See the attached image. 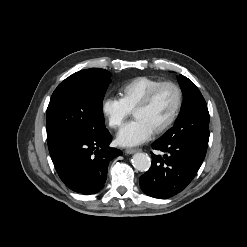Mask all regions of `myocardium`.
Here are the masks:
<instances>
[{"label":"myocardium","mask_w":247,"mask_h":247,"mask_svg":"<svg viewBox=\"0 0 247 247\" xmlns=\"http://www.w3.org/2000/svg\"><path fill=\"white\" fill-rule=\"evenodd\" d=\"M169 86L174 89L176 92V105L174 107V110L169 117V119L161 125L159 128H157L154 133L155 134H161L167 131L176 121L178 118L182 105H183V91L181 87L173 82V81H161L157 85H155L153 88H151L148 93L145 95V97L140 101V103L134 108L133 114L138 111V110H143L146 109L150 106L152 103L153 99L155 98L156 94L159 92V90L163 87Z\"/></svg>","instance_id":"f54148a6"}]
</instances>
